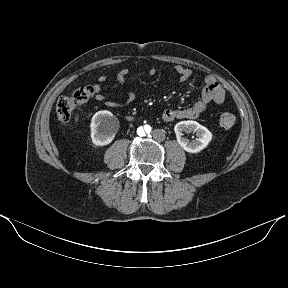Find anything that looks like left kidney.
Segmentation results:
<instances>
[{"label":"left kidney","mask_w":288,"mask_h":288,"mask_svg":"<svg viewBox=\"0 0 288 288\" xmlns=\"http://www.w3.org/2000/svg\"><path fill=\"white\" fill-rule=\"evenodd\" d=\"M174 131L179 145L189 153H197L203 150L212 139V133L196 121L188 120L178 122L174 127ZM183 132H194L197 138L189 141L183 137Z\"/></svg>","instance_id":"1"}]
</instances>
